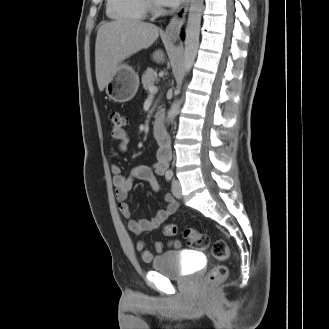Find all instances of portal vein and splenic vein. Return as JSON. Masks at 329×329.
Here are the masks:
<instances>
[{"label":"portal vein and splenic vein","mask_w":329,"mask_h":329,"mask_svg":"<svg viewBox=\"0 0 329 329\" xmlns=\"http://www.w3.org/2000/svg\"><path fill=\"white\" fill-rule=\"evenodd\" d=\"M157 91H158V88L156 87V86H154V85H151L150 87H149V92H150V94H155V93H157Z\"/></svg>","instance_id":"obj_1"}]
</instances>
